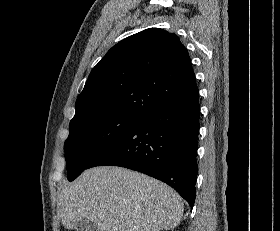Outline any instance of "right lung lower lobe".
Listing matches in <instances>:
<instances>
[{"label":"right lung lower lobe","instance_id":"98d812e1","mask_svg":"<svg viewBox=\"0 0 280 231\" xmlns=\"http://www.w3.org/2000/svg\"><path fill=\"white\" fill-rule=\"evenodd\" d=\"M199 95L164 104L145 116L86 169L113 165L172 186L191 206L198 173Z\"/></svg>","mask_w":280,"mask_h":231}]
</instances>
